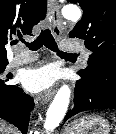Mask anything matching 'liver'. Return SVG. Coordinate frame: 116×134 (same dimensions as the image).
Returning a JSON list of instances; mask_svg holds the SVG:
<instances>
[{
	"label": "liver",
	"instance_id": "obj_1",
	"mask_svg": "<svg viewBox=\"0 0 116 134\" xmlns=\"http://www.w3.org/2000/svg\"><path fill=\"white\" fill-rule=\"evenodd\" d=\"M0 134H17V132L6 122L0 121Z\"/></svg>",
	"mask_w": 116,
	"mask_h": 134
}]
</instances>
